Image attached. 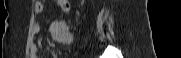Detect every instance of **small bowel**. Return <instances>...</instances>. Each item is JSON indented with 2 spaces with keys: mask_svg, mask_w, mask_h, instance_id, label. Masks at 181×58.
<instances>
[{
  "mask_svg": "<svg viewBox=\"0 0 181 58\" xmlns=\"http://www.w3.org/2000/svg\"><path fill=\"white\" fill-rule=\"evenodd\" d=\"M56 6H58L62 11L69 12L70 11V3L68 0H55L54 1ZM43 11V1H36L35 2V12L37 14H40ZM40 26L39 24H36L35 26V32H39ZM65 42H69L70 38L69 36L64 37ZM38 50L39 47L36 43H34L31 47V57L32 58H38Z\"/></svg>",
  "mask_w": 181,
  "mask_h": 58,
  "instance_id": "small-bowel-1",
  "label": "small bowel"
}]
</instances>
